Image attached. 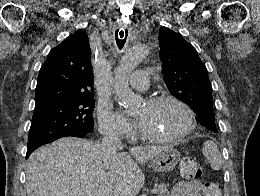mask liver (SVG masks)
Listing matches in <instances>:
<instances>
[{
  "label": "liver",
  "mask_w": 260,
  "mask_h": 196,
  "mask_svg": "<svg viewBox=\"0 0 260 196\" xmlns=\"http://www.w3.org/2000/svg\"><path fill=\"white\" fill-rule=\"evenodd\" d=\"M164 148L166 146H136L129 152L110 154L98 142L60 138L50 146L38 148L28 158L27 194L136 196L145 182L140 166L156 158Z\"/></svg>",
  "instance_id": "obj_1"
}]
</instances>
